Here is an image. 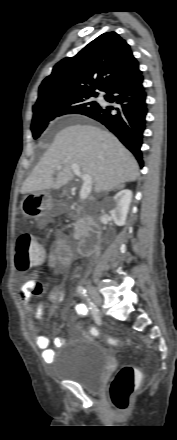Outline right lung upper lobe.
<instances>
[{
    "mask_svg": "<svg viewBox=\"0 0 177 440\" xmlns=\"http://www.w3.org/2000/svg\"><path fill=\"white\" fill-rule=\"evenodd\" d=\"M130 46L116 32L90 42L74 57L58 62L39 87L40 107L63 96L98 94L138 68Z\"/></svg>",
    "mask_w": 177,
    "mask_h": 440,
    "instance_id": "right-lung-upper-lobe-1",
    "label": "right lung upper lobe"
}]
</instances>
